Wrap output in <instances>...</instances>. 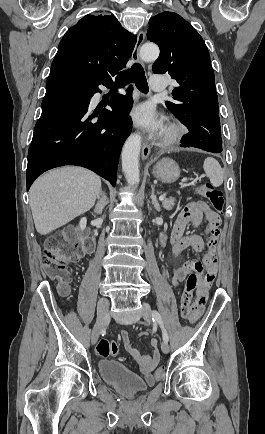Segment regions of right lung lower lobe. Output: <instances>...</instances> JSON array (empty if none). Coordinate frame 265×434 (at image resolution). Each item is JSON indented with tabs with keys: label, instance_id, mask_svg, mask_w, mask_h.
Returning a JSON list of instances; mask_svg holds the SVG:
<instances>
[{
	"label": "right lung lower lobe",
	"instance_id": "1",
	"mask_svg": "<svg viewBox=\"0 0 265 434\" xmlns=\"http://www.w3.org/2000/svg\"><path fill=\"white\" fill-rule=\"evenodd\" d=\"M111 76L49 74L28 152L27 190L43 172L63 165L83 166L116 185L120 150L132 129L128 115L132 86L125 96L117 94L108 101L113 111L100 105L92 114L90 110L98 86L110 87ZM97 116L98 120H92Z\"/></svg>",
	"mask_w": 265,
	"mask_h": 434
}]
</instances>
